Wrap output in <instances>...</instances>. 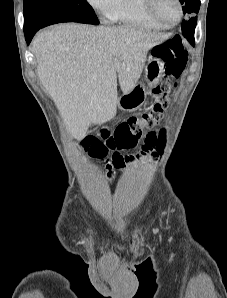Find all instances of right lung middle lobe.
Wrapping results in <instances>:
<instances>
[{
	"instance_id": "dd1d6c3e",
	"label": "right lung middle lobe",
	"mask_w": 227,
	"mask_h": 298,
	"mask_svg": "<svg viewBox=\"0 0 227 298\" xmlns=\"http://www.w3.org/2000/svg\"><path fill=\"white\" fill-rule=\"evenodd\" d=\"M60 22L99 24L86 0H24V33Z\"/></svg>"
}]
</instances>
